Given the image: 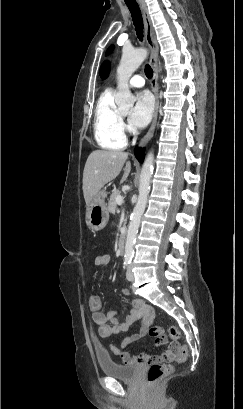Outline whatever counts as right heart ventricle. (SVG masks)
Returning <instances> with one entry per match:
<instances>
[{
    "label": "right heart ventricle",
    "mask_w": 243,
    "mask_h": 409,
    "mask_svg": "<svg viewBox=\"0 0 243 409\" xmlns=\"http://www.w3.org/2000/svg\"><path fill=\"white\" fill-rule=\"evenodd\" d=\"M114 92L105 90L96 105L94 116V136L105 149H123L126 137L120 127V116L113 102Z\"/></svg>",
    "instance_id": "1"
}]
</instances>
